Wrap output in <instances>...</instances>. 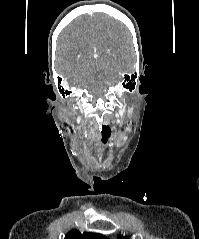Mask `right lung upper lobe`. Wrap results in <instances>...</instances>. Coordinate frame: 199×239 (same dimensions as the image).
Wrapping results in <instances>:
<instances>
[{
    "instance_id": "right-lung-upper-lobe-1",
    "label": "right lung upper lobe",
    "mask_w": 199,
    "mask_h": 239,
    "mask_svg": "<svg viewBox=\"0 0 199 239\" xmlns=\"http://www.w3.org/2000/svg\"><path fill=\"white\" fill-rule=\"evenodd\" d=\"M65 239H107L105 236L96 233H83L81 234L77 230L68 232Z\"/></svg>"
}]
</instances>
